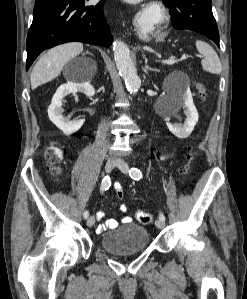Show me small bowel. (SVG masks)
<instances>
[{"instance_id":"small-bowel-1","label":"small bowel","mask_w":247,"mask_h":299,"mask_svg":"<svg viewBox=\"0 0 247 299\" xmlns=\"http://www.w3.org/2000/svg\"><path fill=\"white\" fill-rule=\"evenodd\" d=\"M118 185H119V184H115V189L118 187ZM122 195H123L122 192H121V193H117V196H118L119 198H121ZM119 209H120L121 212H126L127 207H126V205L121 204V205L119 206ZM104 217H105V213H104V212L99 211V212L96 213V218H97V220H99V221H100V220H103ZM130 221H131V218L128 217V216H125V217L123 218V222H125V223L130 222ZM117 226H118V222H117L115 219H106L103 223H101V224L97 227L96 232H97L98 234H102V233L105 232L107 229H115Z\"/></svg>"}]
</instances>
